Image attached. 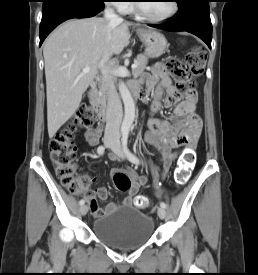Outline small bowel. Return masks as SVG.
I'll return each mask as SVG.
<instances>
[{
  "label": "small bowel",
  "mask_w": 258,
  "mask_h": 275,
  "mask_svg": "<svg viewBox=\"0 0 258 275\" xmlns=\"http://www.w3.org/2000/svg\"><path fill=\"white\" fill-rule=\"evenodd\" d=\"M130 87H139L140 97L145 99L154 90V100L151 105L152 113H156L162 105L171 107L176 105L171 120H159L150 117L148 120V131L145 140L153 145L160 152V161L164 168L163 177L166 176L169 168L179 156L174 149L185 146L193 148L199 138L202 129V121L196 113L197 95L189 92L186 99L180 101L172 77L167 73L166 68L161 63H156L151 69V74L144 76L139 82L132 83ZM164 96V97H163ZM102 134V128L96 127L86 132L85 138L89 145L98 143ZM110 160L116 161L118 157L110 154ZM131 180V188L128 195L121 201L124 206H131L135 195L140 188L147 184L146 175H138L132 170H123ZM116 172L113 171L114 175ZM89 208L95 217H100L105 213L113 212L118 204L108 203L104 210L99 207L98 200L107 199L108 192L105 187H98L92 196L85 195Z\"/></svg>",
  "instance_id": "small-bowel-1"
}]
</instances>
